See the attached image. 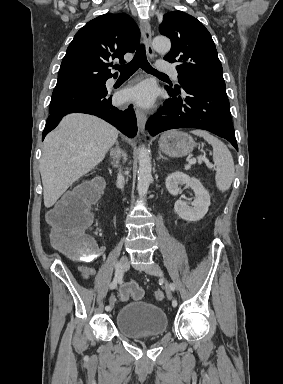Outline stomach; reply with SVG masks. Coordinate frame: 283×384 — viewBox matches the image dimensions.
<instances>
[{
	"label": "stomach",
	"mask_w": 283,
	"mask_h": 384,
	"mask_svg": "<svg viewBox=\"0 0 283 384\" xmlns=\"http://www.w3.org/2000/svg\"><path fill=\"white\" fill-rule=\"evenodd\" d=\"M194 146V140L191 136L183 134V132H175V130L165 132L159 140L160 150L171 158H183V156L191 154Z\"/></svg>",
	"instance_id": "obj_1"
}]
</instances>
